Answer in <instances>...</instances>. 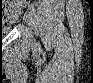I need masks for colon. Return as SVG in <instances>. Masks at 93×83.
Listing matches in <instances>:
<instances>
[{"label": "colon", "instance_id": "colon-1", "mask_svg": "<svg viewBox=\"0 0 93 83\" xmlns=\"http://www.w3.org/2000/svg\"><path fill=\"white\" fill-rule=\"evenodd\" d=\"M17 3V1H11V4H16ZM1 12H2V16H3V18H6L5 16H6V14L8 13V12H10V13H16V10H14V9H11V10H7L3 5L1 6Z\"/></svg>", "mask_w": 93, "mask_h": 83}]
</instances>
